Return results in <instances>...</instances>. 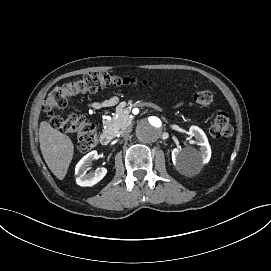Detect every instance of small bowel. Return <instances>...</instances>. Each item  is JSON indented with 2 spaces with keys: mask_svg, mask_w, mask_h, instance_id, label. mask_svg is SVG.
<instances>
[{
  "mask_svg": "<svg viewBox=\"0 0 271 271\" xmlns=\"http://www.w3.org/2000/svg\"><path fill=\"white\" fill-rule=\"evenodd\" d=\"M117 103H118V97L111 96L101 101H93L88 104V107L93 108V109H100V108L115 106Z\"/></svg>",
  "mask_w": 271,
  "mask_h": 271,
  "instance_id": "obj_1",
  "label": "small bowel"
}]
</instances>
